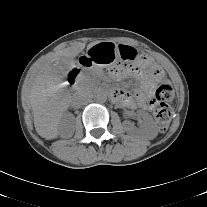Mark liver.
<instances>
[{
	"label": "liver",
	"mask_w": 207,
	"mask_h": 207,
	"mask_svg": "<svg viewBox=\"0 0 207 207\" xmlns=\"http://www.w3.org/2000/svg\"><path fill=\"white\" fill-rule=\"evenodd\" d=\"M97 43L99 41L88 44L87 50ZM84 48V43H78L54 53L39 64L29 77L27 94L33 110L34 126L45 139L58 136L61 119L70 103L64 82L66 72L58 59L61 56L76 57Z\"/></svg>",
	"instance_id": "liver-1"
}]
</instances>
